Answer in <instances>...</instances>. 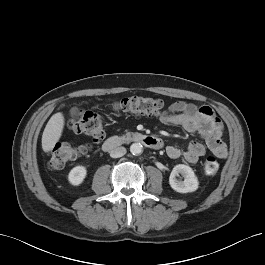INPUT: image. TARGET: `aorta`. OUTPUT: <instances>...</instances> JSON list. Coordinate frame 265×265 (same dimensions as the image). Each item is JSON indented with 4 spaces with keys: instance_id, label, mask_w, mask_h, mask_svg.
<instances>
[{
    "instance_id": "aorta-1",
    "label": "aorta",
    "mask_w": 265,
    "mask_h": 265,
    "mask_svg": "<svg viewBox=\"0 0 265 265\" xmlns=\"http://www.w3.org/2000/svg\"><path fill=\"white\" fill-rule=\"evenodd\" d=\"M143 151V146L141 143H133L131 146H130V152L133 154V155H139L141 154Z\"/></svg>"
}]
</instances>
